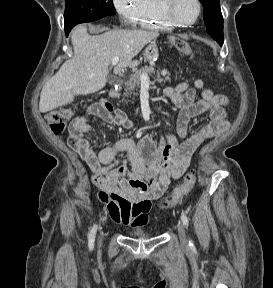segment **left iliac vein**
Returning <instances> with one entry per match:
<instances>
[{"instance_id":"left-iliac-vein-1","label":"left iliac vein","mask_w":273,"mask_h":288,"mask_svg":"<svg viewBox=\"0 0 273 288\" xmlns=\"http://www.w3.org/2000/svg\"><path fill=\"white\" fill-rule=\"evenodd\" d=\"M177 229H178V234H179L181 246L186 247L187 246V239H186L184 224L182 222H179L177 225Z\"/></svg>"}]
</instances>
